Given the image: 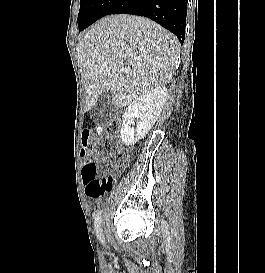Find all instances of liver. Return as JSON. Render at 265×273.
Here are the masks:
<instances>
[{
    "mask_svg": "<svg viewBox=\"0 0 265 273\" xmlns=\"http://www.w3.org/2000/svg\"><path fill=\"white\" fill-rule=\"evenodd\" d=\"M179 50L177 38L150 19L119 14L99 20L77 50L86 109L93 108L104 92L110 91L113 105L122 108L167 84Z\"/></svg>",
    "mask_w": 265,
    "mask_h": 273,
    "instance_id": "obj_1",
    "label": "liver"
}]
</instances>
